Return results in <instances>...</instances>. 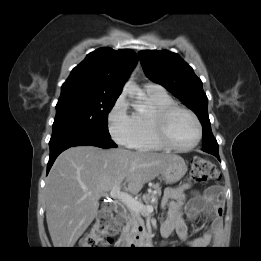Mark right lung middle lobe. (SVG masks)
Instances as JSON below:
<instances>
[{"mask_svg": "<svg viewBox=\"0 0 261 261\" xmlns=\"http://www.w3.org/2000/svg\"><path fill=\"white\" fill-rule=\"evenodd\" d=\"M117 98L61 95L56 105L52 136L78 131L110 136L107 116Z\"/></svg>", "mask_w": 261, "mask_h": 261, "instance_id": "dd1d6c3e", "label": "right lung middle lobe"}]
</instances>
